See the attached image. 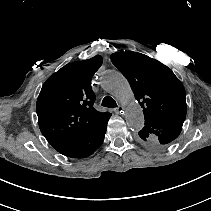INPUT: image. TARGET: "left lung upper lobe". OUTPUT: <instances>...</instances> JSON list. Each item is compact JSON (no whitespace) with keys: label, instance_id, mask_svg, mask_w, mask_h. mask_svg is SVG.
Segmentation results:
<instances>
[{"label":"left lung upper lobe","instance_id":"5c2ea615","mask_svg":"<svg viewBox=\"0 0 211 211\" xmlns=\"http://www.w3.org/2000/svg\"><path fill=\"white\" fill-rule=\"evenodd\" d=\"M110 58L143 108L145 126L138 133L142 142L161 149L174 141L187 112L185 90L179 79L167 66L141 53L117 52Z\"/></svg>","mask_w":211,"mask_h":211}]
</instances>
